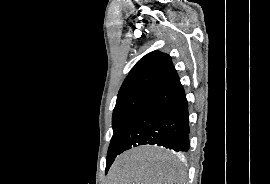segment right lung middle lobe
Instances as JSON below:
<instances>
[{
	"label": "right lung middle lobe",
	"mask_w": 270,
	"mask_h": 184,
	"mask_svg": "<svg viewBox=\"0 0 270 184\" xmlns=\"http://www.w3.org/2000/svg\"><path fill=\"white\" fill-rule=\"evenodd\" d=\"M148 98V96L139 95L116 102L112 117L113 136L107 154L106 172L119 154L124 138Z\"/></svg>",
	"instance_id": "dd1d6c3e"
}]
</instances>
